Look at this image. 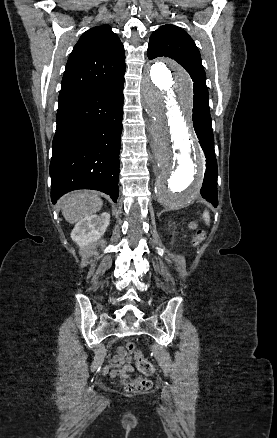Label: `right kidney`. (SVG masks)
Here are the masks:
<instances>
[{
  "label": "right kidney",
  "mask_w": 277,
  "mask_h": 438,
  "mask_svg": "<svg viewBox=\"0 0 277 438\" xmlns=\"http://www.w3.org/2000/svg\"><path fill=\"white\" fill-rule=\"evenodd\" d=\"M110 224V214L103 212L101 216H85L83 220H80L73 228L71 232V238L73 242H76L77 246H88L91 242H97L106 228Z\"/></svg>",
  "instance_id": "ca27d5eb"
}]
</instances>
